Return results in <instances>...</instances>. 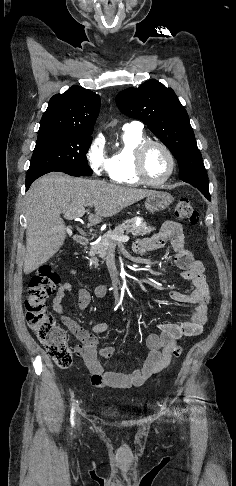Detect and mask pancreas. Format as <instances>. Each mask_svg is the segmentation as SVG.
<instances>
[{
	"label": "pancreas",
	"instance_id": "pancreas-1",
	"mask_svg": "<svg viewBox=\"0 0 236 486\" xmlns=\"http://www.w3.org/2000/svg\"><path fill=\"white\" fill-rule=\"evenodd\" d=\"M137 219L133 218L127 225H118L113 230H109L105 233L101 240L90 247L89 251V262L90 266H94L97 268L98 266V257L105 259L107 255V251L110 247H115L117 242L112 240V236H120L124 233L129 234L131 233L133 236H144L150 234L154 228L151 226H147L146 222L143 220L140 221L139 225H136Z\"/></svg>",
	"mask_w": 236,
	"mask_h": 486
}]
</instances>
